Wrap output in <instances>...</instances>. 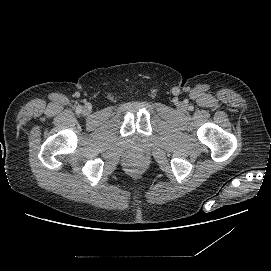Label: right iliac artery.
I'll return each mask as SVG.
<instances>
[{
    "mask_svg": "<svg viewBox=\"0 0 271 271\" xmlns=\"http://www.w3.org/2000/svg\"><path fill=\"white\" fill-rule=\"evenodd\" d=\"M76 112H77V113H80V112H81V108L78 107V108L76 109Z\"/></svg>",
    "mask_w": 271,
    "mask_h": 271,
    "instance_id": "82829eb1",
    "label": "right iliac artery"
}]
</instances>
